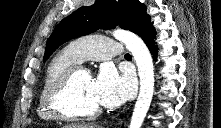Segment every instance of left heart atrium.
<instances>
[{
  "mask_svg": "<svg viewBox=\"0 0 221 128\" xmlns=\"http://www.w3.org/2000/svg\"><path fill=\"white\" fill-rule=\"evenodd\" d=\"M92 89L101 106L115 108L131 95L134 83L131 76H120L114 68L103 66L98 76L92 79Z\"/></svg>",
  "mask_w": 221,
  "mask_h": 128,
  "instance_id": "39dd6f15",
  "label": "left heart atrium"
}]
</instances>
